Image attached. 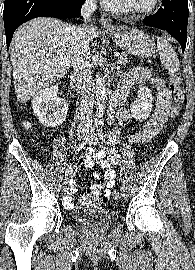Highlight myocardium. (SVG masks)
Listing matches in <instances>:
<instances>
[{"instance_id": "myocardium-1", "label": "myocardium", "mask_w": 195, "mask_h": 270, "mask_svg": "<svg viewBox=\"0 0 195 270\" xmlns=\"http://www.w3.org/2000/svg\"><path fill=\"white\" fill-rule=\"evenodd\" d=\"M121 10L124 13H129L132 14L134 16H146L149 15L151 13H153L154 11H156L158 9V7L160 6V2L161 0H154L152 5L149 6L148 8L145 9H135L132 6H130L125 0H117Z\"/></svg>"}]
</instances>
